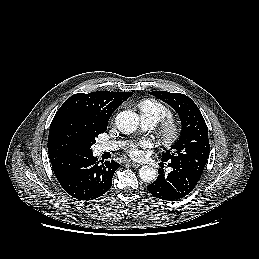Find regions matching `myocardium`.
<instances>
[{
    "label": "myocardium",
    "instance_id": "f54148a6",
    "mask_svg": "<svg viewBox=\"0 0 259 259\" xmlns=\"http://www.w3.org/2000/svg\"><path fill=\"white\" fill-rule=\"evenodd\" d=\"M182 135V127L178 121L166 118L162 121L159 128V137L164 145H174Z\"/></svg>",
    "mask_w": 259,
    "mask_h": 259
}]
</instances>
